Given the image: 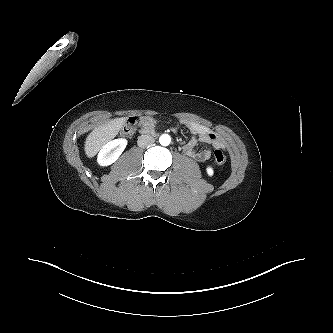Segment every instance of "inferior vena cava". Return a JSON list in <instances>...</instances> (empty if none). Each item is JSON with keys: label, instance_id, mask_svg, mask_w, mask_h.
Listing matches in <instances>:
<instances>
[{"label": "inferior vena cava", "instance_id": "1", "mask_svg": "<svg viewBox=\"0 0 333 333\" xmlns=\"http://www.w3.org/2000/svg\"><path fill=\"white\" fill-rule=\"evenodd\" d=\"M154 138L150 135H141L138 137L137 144L139 147L144 148L151 146L154 143Z\"/></svg>", "mask_w": 333, "mask_h": 333}]
</instances>
